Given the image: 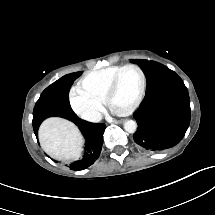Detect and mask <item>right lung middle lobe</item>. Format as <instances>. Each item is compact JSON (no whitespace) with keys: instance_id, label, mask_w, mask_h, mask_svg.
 <instances>
[{"instance_id":"dd1d6c3e","label":"right lung middle lobe","mask_w":215,"mask_h":215,"mask_svg":"<svg viewBox=\"0 0 215 215\" xmlns=\"http://www.w3.org/2000/svg\"><path fill=\"white\" fill-rule=\"evenodd\" d=\"M81 73L66 75L47 87L41 94L33 110V121L43 117L63 115L75 117L69 103V90Z\"/></svg>"}]
</instances>
